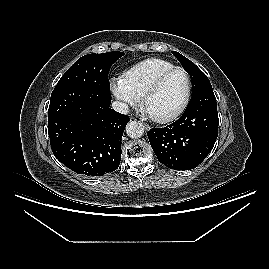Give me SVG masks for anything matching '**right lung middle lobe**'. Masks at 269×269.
<instances>
[{
    "label": "right lung middle lobe",
    "mask_w": 269,
    "mask_h": 269,
    "mask_svg": "<svg viewBox=\"0 0 269 269\" xmlns=\"http://www.w3.org/2000/svg\"><path fill=\"white\" fill-rule=\"evenodd\" d=\"M123 52L88 54L78 59L61 77L56 88L65 86L94 87L109 92L108 73Z\"/></svg>",
    "instance_id": "right-lung-middle-lobe-1"
}]
</instances>
